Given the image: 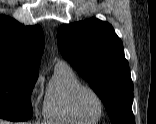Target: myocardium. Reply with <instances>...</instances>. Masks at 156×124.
<instances>
[{
	"label": "myocardium",
	"mask_w": 156,
	"mask_h": 124,
	"mask_svg": "<svg viewBox=\"0 0 156 124\" xmlns=\"http://www.w3.org/2000/svg\"><path fill=\"white\" fill-rule=\"evenodd\" d=\"M84 92L91 93L99 101V104H100V113H99V115L94 120L101 119V117L103 116L104 111H105V101H104L103 97L95 89H93L90 86H86V85H81V86L77 87L73 91V93L71 95V105H72V108H73L74 113L79 118H81L83 120H88V118L86 117V115L81 111V109L79 107V98H80L81 94L84 93Z\"/></svg>",
	"instance_id": "obj_1"
}]
</instances>
